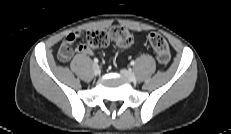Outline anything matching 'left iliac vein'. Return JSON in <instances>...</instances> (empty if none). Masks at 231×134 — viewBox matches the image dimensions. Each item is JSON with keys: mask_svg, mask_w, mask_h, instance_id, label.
<instances>
[{"mask_svg": "<svg viewBox=\"0 0 231 134\" xmlns=\"http://www.w3.org/2000/svg\"><path fill=\"white\" fill-rule=\"evenodd\" d=\"M120 72L128 81L133 82L136 80V76L132 71L122 69Z\"/></svg>", "mask_w": 231, "mask_h": 134, "instance_id": "1", "label": "left iliac vein"}]
</instances>
